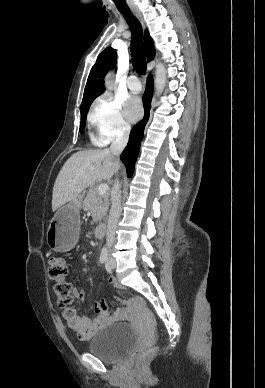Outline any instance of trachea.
I'll list each match as a JSON object with an SVG mask.
<instances>
[{"label":"trachea","mask_w":265,"mask_h":388,"mask_svg":"<svg viewBox=\"0 0 265 388\" xmlns=\"http://www.w3.org/2000/svg\"><path fill=\"white\" fill-rule=\"evenodd\" d=\"M127 21L132 34L131 38V56L134 69L139 74L146 72V54L143 43V32L141 23L131 12V10H119Z\"/></svg>","instance_id":"1"}]
</instances>
